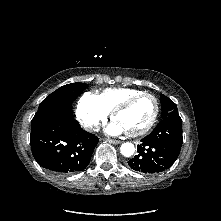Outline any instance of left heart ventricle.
Listing matches in <instances>:
<instances>
[{
    "label": "left heart ventricle",
    "instance_id": "obj_1",
    "mask_svg": "<svg viewBox=\"0 0 221 221\" xmlns=\"http://www.w3.org/2000/svg\"><path fill=\"white\" fill-rule=\"evenodd\" d=\"M153 113V99L142 97L135 101L128 109L119 113L115 120L123 126L126 132H135L148 124Z\"/></svg>",
    "mask_w": 221,
    "mask_h": 221
}]
</instances>
